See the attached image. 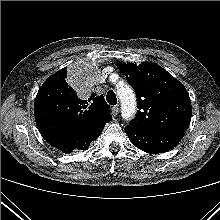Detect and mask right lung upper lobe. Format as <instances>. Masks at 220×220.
Instances as JSON below:
<instances>
[{"label":"right lung upper lobe","instance_id":"cb5924a9","mask_svg":"<svg viewBox=\"0 0 220 220\" xmlns=\"http://www.w3.org/2000/svg\"><path fill=\"white\" fill-rule=\"evenodd\" d=\"M67 81V68H63L42 84L35 99V120L47 142L76 135L99 121L112 119L103 96L91 93L82 100Z\"/></svg>","mask_w":220,"mask_h":220}]
</instances>
